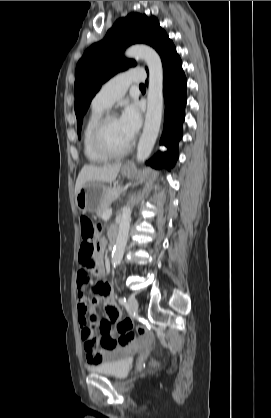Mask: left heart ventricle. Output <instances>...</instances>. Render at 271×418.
Returning <instances> with one entry per match:
<instances>
[{"label": "left heart ventricle", "instance_id": "obj_1", "mask_svg": "<svg viewBox=\"0 0 271 418\" xmlns=\"http://www.w3.org/2000/svg\"><path fill=\"white\" fill-rule=\"evenodd\" d=\"M105 140L114 150H120L130 142L121 127L119 118L112 119L108 123L105 131Z\"/></svg>", "mask_w": 271, "mask_h": 418}]
</instances>
